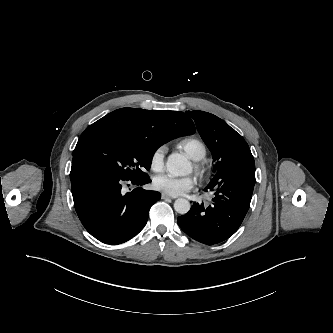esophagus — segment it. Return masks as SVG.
Returning <instances> with one entry per match:
<instances>
[{"instance_id": "obj_1", "label": "esophagus", "mask_w": 333, "mask_h": 333, "mask_svg": "<svg viewBox=\"0 0 333 333\" xmlns=\"http://www.w3.org/2000/svg\"><path fill=\"white\" fill-rule=\"evenodd\" d=\"M161 198L164 199V200L173 199L171 196L166 195L164 193L161 194Z\"/></svg>"}]
</instances>
